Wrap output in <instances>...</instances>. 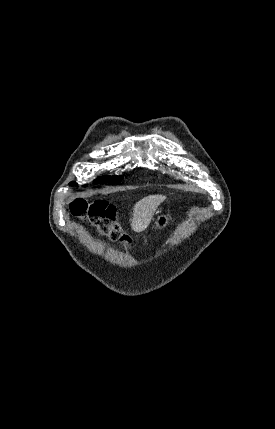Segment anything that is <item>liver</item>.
Instances as JSON below:
<instances>
[{
	"mask_svg": "<svg viewBox=\"0 0 275 429\" xmlns=\"http://www.w3.org/2000/svg\"><path fill=\"white\" fill-rule=\"evenodd\" d=\"M165 199L164 195H149L138 201L133 208L132 230L144 231L149 226L157 207Z\"/></svg>",
	"mask_w": 275,
	"mask_h": 429,
	"instance_id": "1",
	"label": "liver"
}]
</instances>
